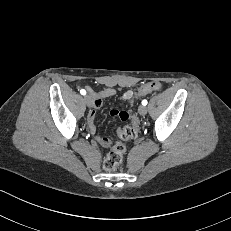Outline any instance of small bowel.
<instances>
[{"label":"small bowel","instance_id":"small-bowel-1","mask_svg":"<svg viewBox=\"0 0 231 231\" xmlns=\"http://www.w3.org/2000/svg\"><path fill=\"white\" fill-rule=\"evenodd\" d=\"M85 88L88 90L94 102L93 109L90 111L88 117L89 130L98 144H100L101 146H109L112 143L111 140L98 133L97 122H96V110L102 106L103 101L107 98L118 96L121 100L128 101L132 98L133 92L131 90H126L122 93H119L117 89L112 87L105 88L101 91H94L89 86H86ZM121 112L122 111L120 110L112 109L110 111V115L112 117H118L120 119L119 115Z\"/></svg>","mask_w":231,"mask_h":231}]
</instances>
